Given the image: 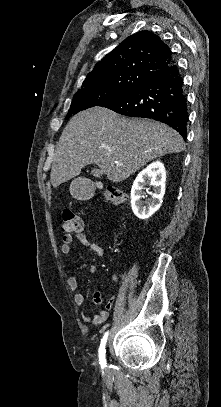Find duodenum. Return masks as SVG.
<instances>
[{"instance_id": "410a0bca", "label": "duodenum", "mask_w": 221, "mask_h": 407, "mask_svg": "<svg viewBox=\"0 0 221 407\" xmlns=\"http://www.w3.org/2000/svg\"><path fill=\"white\" fill-rule=\"evenodd\" d=\"M93 192H94V189H93V188H88V189L86 190V197H87V198L91 197L92 194H93Z\"/></svg>"}]
</instances>
